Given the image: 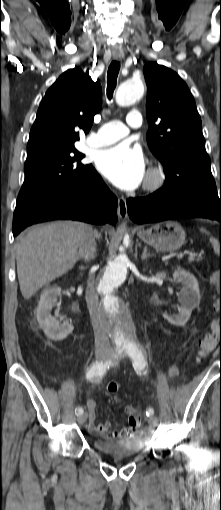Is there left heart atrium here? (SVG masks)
I'll use <instances>...</instances> for the list:
<instances>
[{"mask_svg": "<svg viewBox=\"0 0 221 510\" xmlns=\"http://www.w3.org/2000/svg\"><path fill=\"white\" fill-rule=\"evenodd\" d=\"M99 171L124 190L137 188L145 176V161L138 148L121 143L100 151L96 158Z\"/></svg>", "mask_w": 221, "mask_h": 510, "instance_id": "1", "label": "left heart atrium"}]
</instances>
